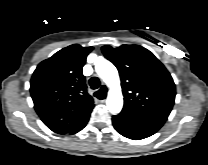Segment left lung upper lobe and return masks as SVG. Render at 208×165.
I'll use <instances>...</instances> for the list:
<instances>
[{
  "label": "left lung upper lobe",
  "instance_id": "obj_1",
  "mask_svg": "<svg viewBox=\"0 0 208 165\" xmlns=\"http://www.w3.org/2000/svg\"><path fill=\"white\" fill-rule=\"evenodd\" d=\"M118 69L124 95L121 112L166 121L175 102V84L164 65L146 48L103 46Z\"/></svg>",
  "mask_w": 208,
  "mask_h": 165
}]
</instances>
